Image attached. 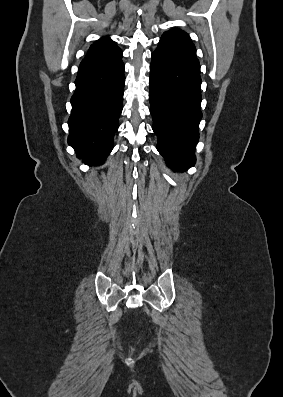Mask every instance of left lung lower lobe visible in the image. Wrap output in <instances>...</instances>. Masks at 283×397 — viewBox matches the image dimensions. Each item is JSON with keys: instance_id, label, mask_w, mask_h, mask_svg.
Wrapping results in <instances>:
<instances>
[{"instance_id": "left-lung-lower-lobe-1", "label": "left lung lower lobe", "mask_w": 283, "mask_h": 397, "mask_svg": "<svg viewBox=\"0 0 283 397\" xmlns=\"http://www.w3.org/2000/svg\"><path fill=\"white\" fill-rule=\"evenodd\" d=\"M149 86L157 150L175 170L194 166L202 119L200 67L159 43L152 53Z\"/></svg>"}]
</instances>
